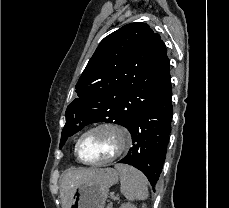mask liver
Segmentation results:
<instances>
[{
	"mask_svg": "<svg viewBox=\"0 0 229 208\" xmlns=\"http://www.w3.org/2000/svg\"><path fill=\"white\" fill-rule=\"evenodd\" d=\"M102 170L103 168H70L68 172H65L60 186L62 208H69L71 198L79 184L93 178H101Z\"/></svg>",
	"mask_w": 229,
	"mask_h": 208,
	"instance_id": "6515ba94",
	"label": "liver"
}]
</instances>
